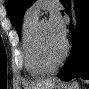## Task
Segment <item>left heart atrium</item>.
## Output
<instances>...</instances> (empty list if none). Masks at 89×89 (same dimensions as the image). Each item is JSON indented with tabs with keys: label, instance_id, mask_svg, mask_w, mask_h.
Returning <instances> with one entry per match:
<instances>
[{
	"label": "left heart atrium",
	"instance_id": "39dd6f15",
	"mask_svg": "<svg viewBox=\"0 0 89 89\" xmlns=\"http://www.w3.org/2000/svg\"><path fill=\"white\" fill-rule=\"evenodd\" d=\"M49 25H50V28H51L53 34L58 39L63 41L65 39L66 32H65V27H64L63 21L58 13L53 12L51 14L50 20H49Z\"/></svg>",
	"mask_w": 89,
	"mask_h": 89
}]
</instances>
